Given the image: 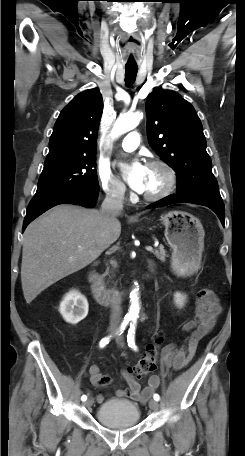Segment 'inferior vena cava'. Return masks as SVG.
Masks as SVG:
<instances>
[{
    "mask_svg": "<svg viewBox=\"0 0 245 456\" xmlns=\"http://www.w3.org/2000/svg\"><path fill=\"white\" fill-rule=\"evenodd\" d=\"M124 198L122 193L114 194L107 192L106 197L101 205V213L107 217L110 214L120 212L123 210ZM122 309L118 302H115L111 308L110 324L111 326H118L121 320Z\"/></svg>",
    "mask_w": 245,
    "mask_h": 456,
    "instance_id": "602c4592",
    "label": "inferior vena cava"
}]
</instances>
